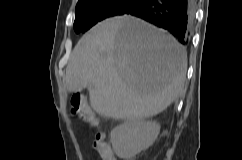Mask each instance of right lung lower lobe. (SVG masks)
Instances as JSON below:
<instances>
[{"label": "right lung lower lobe", "instance_id": "obj_1", "mask_svg": "<svg viewBox=\"0 0 242 160\" xmlns=\"http://www.w3.org/2000/svg\"><path fill=\"white\" fill-rule=\"evenodd\" d=\"M194 3L195 0H142L125 14L164 28L185 45L190 39Z\"/></svg>", "mask_w": 242, "mask_h": 160}]
</instances>
